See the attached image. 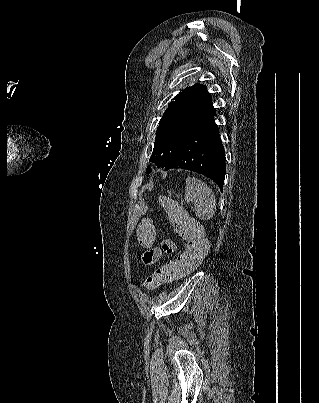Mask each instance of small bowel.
Returning <instances> with one entry per match:
<instances>
[{"label": "small bowel", "mask_w": 319, "mask_h": 403, "mask_svg": "<svg viewBox=\"0 0 319 403\" xmlns=\"http://www.w3.org/2000/svg\"><path fill=\"white\" fill-rule=\"evenodd\" d=\"M161 251L162 252H164V253H166V254H171V253H173L174 251H175V245H174V243L172 242V241H170V240H168V241H166L163 245H162V248H161ZM158 251H153L152 249H147L146 251H145V258H146V261L148 262V263H151V264H154V263H156V261H157V256H158ZM186 274H184V275H181L180 277H183V276H185ZM179 277V278H180Z\"/></svg>", "instance_id": "obj_1"}]
</instances>
